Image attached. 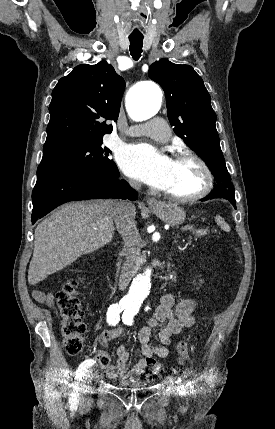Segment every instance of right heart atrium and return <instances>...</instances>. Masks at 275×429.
<instances>
[{
  "instance_id": "d8ad5b80",
  "label": "right heart atrium",
  "mask_w": 275,
  "mask_h": 429,
  "mask_svg": "<svg viewBox=\"0 0 275 429\" xmlns=\"http://www.w3.org/2000/svg\"><path fill=\"white\" fill-rule=\"evenodd\" d=\"M129 184L131 185V186H133V187H137L138 186V183L136 182V181H134V180H129Z\"/></svg>"
}]
</instances>
